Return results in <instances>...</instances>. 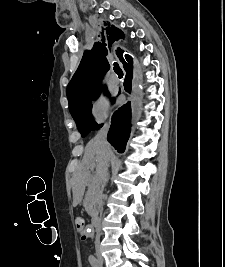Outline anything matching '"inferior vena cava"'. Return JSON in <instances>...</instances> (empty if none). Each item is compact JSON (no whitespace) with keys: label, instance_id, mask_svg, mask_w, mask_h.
<instances>
[{"label":"inferior vena cava","instance_id":"602c4592","mask_svg":"<svg viewBox=\"0 0 225 267\" xmlns=\"http://www.w3.org/2000/svg\"><path fill=\"white\" fill-rule=\"evenodd\" d=\"M107 133H108V125H105L94 138L97 143H99L106 153V164L103 169L98 173L95 178L96 189H97V203L98 209L102 212L103 209V189L108 181V162L111 156L110 146L107 142ZM99 243V236L96 237L95 244Z\"/></svg>","mask_w":225,"mask_h":267}]
</instances>
